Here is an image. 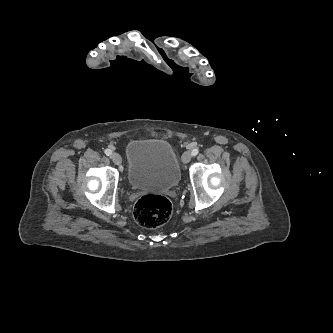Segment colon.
Segmentation results:
<instances>
[{
	"label": "colon",
	"mask_w": 333,
	"mask_h": 333,
	"mask_svg": "<svg viewBox=\"0 0 333 333\" xmlns=\"http://www.w3.org/2000/svg\"><path fill=\"white\" fill-rule=\"evenodd\" d=\"M171 213L170 202L161 195L142 196L135 206V220L144 228H156L167 222Z\"/></svg>",
	"instance_id": "colon-1"
}]
</instances>
